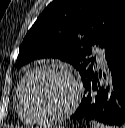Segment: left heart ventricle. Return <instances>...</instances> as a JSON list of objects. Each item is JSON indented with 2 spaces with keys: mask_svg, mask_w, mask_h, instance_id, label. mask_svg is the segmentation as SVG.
I'll list each match as a JSON object with an SVG mask.
<instances>
[{
  "mask_svg": "<svg viewBox=\"0 0 125 128\" xmlns=\"http://www.w3.org/2000/svg\"><path fill=\"white\" fill-rule=\"evenodd\" d=\"M27 95L36 111L46 114L58 113L73 100L74 87L65 75L45 71L30 80Z\"/></svg>",
  "mask_w": 125,
  "mask_h": 128,
  "instance_id": "1",
  "label": "left heart ventricle"
}]
</instances>
